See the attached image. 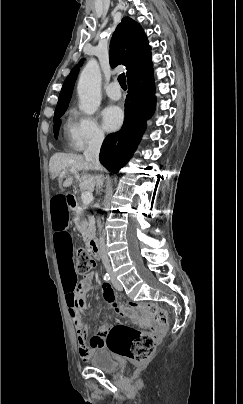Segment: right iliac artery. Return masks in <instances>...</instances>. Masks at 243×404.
<instances>
[{
	"label": "right iliac artery",
	"mask_w": 243,
	"mask_h": 404,
	"mask_svg": "<svg viewBox=\"0 0 243 404\" xmlns=\"http://www.w3.org/2000/svg\"><path fill=\"white\" fill-rule=\"evenodd\" d=\"M104 280H105V281H109V280H110V275H109V274H105V275H104Z\"/></svg>",
	"instance_id": "1"
}]
</instances>
